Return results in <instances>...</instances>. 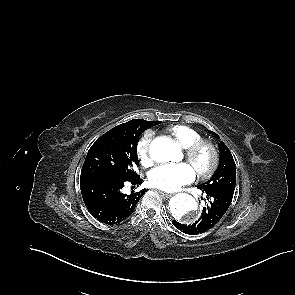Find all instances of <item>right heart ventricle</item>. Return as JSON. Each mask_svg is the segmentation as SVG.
I'll list each match as a JSON object with an SVG mask.
<instances>
[{
    "label": "right heart ventricle",
    "instance_id": "obj_1",
    "mask_svg": "<svg viewBox=\"0 0 295 295\" xmlns=\"http://www.w3.org/2000/svg\"><path fill=\"white\" fill-rule=\"evenodd\" d=\"M167 132L183 147L187 148L203 139L195 129L185 125H174L167 128Z\"/></svg>",
    "mask_w": 295,
    "mask_h": 295
}]
</instances>
